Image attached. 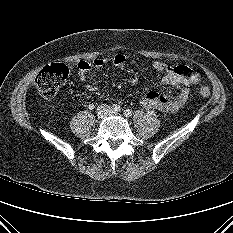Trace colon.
<instances>
[{"label":"colon","instance_id":"1","mask_svg":"<svg viewBox=\"0 0 233 233\" xmlns=\"http://www.w3.org/2000/svg\"><path fill=\"white\" fill-rule=\"evenodd\" d=\"M183 73H191L190 69L179 70ZM69 74V68L63 63H54L43 68L35 79V85L39 94L44 98H52L59 88L65 83ZM202 97L207 98L210 90L206 86L199 89Z\"/></svg>","mask_w":233,"mask_h":233}]
</instances>
